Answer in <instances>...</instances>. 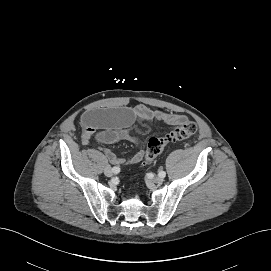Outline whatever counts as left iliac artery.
<instances>
[{
    "instance_id": "1",
    "label": "left iliac artery",
    "mask_w": 271,
    "mask_h": 271,
    "mask_svg": "<svg viewBox=\"0 0 271 271\" xmlns=\"http://www.w3.org/2000/svg\"><path fill=\"white\" fill-rule=\"evenodd\" d=\"M159 176H161V177H163V178H164V177L166 176L165 171H160V172H159Z\"/></svg>"
}]
</instances>
